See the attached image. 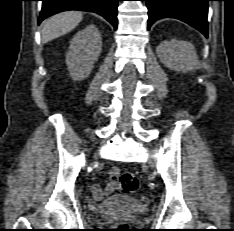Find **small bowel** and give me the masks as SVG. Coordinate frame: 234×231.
<instances>
[{
	"instance_id": "1",
	"label": "small bowel",
	"mask_w": 234,
	"mask_h": 231,
	"mask_svg": "<svg viewBox=\"0 0 234 231\" xmlns=\"http://www.w3.org/2000/svg\"><path fill=\"white\" fill-rule=\"evenodd\" d=\"M115 168L109 170V180L102 186L99 183H94L91 186V193L94 199L99 200L105 196L114 193L118 189V184L114 181L113 171Z\"/></svg>"
}]
</instances>
